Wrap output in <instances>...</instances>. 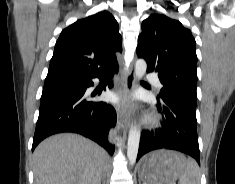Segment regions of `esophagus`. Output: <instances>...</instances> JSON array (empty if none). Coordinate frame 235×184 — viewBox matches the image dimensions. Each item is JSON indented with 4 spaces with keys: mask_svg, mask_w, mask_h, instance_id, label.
<instances>
[{
    "mask_svg": "<svg viewBox=\"0 0 235 184\" xmlns=\"http://www.w3.org/2000/svg\"><path fill=\"white\" fill-rule=\"evenodd\" d=\"M135 68L134 64L131 65L130 70L127 72L122 89V103L119 113V120L121 125L126 128L131 126L133 114V100L131 93L135 88Z\"/></svg>",
    "mask_w": 235,
    "mask_h": 184,
    "instance_id": "34e87169",
    "label": "esophagus"
}]
</instances>
